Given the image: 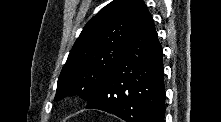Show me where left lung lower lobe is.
Wrapping results in <instances>:
<instances>
[{"label": "left lung lower lobe", "mask_w": 221, "mask_h": 122, "mask_svg": "<svg viewBox=\"0 0 221 122\" xmlns=\"http://www.w3.org/2000/svg\"><path fill=\"white\" fill-rule=\"evenodd\" d=\"M86 108L115 114L127 122H163L162 48L143 1L121 56Z\"/></svg>", "instance_id": "1"}]
</instances>
